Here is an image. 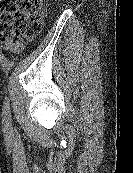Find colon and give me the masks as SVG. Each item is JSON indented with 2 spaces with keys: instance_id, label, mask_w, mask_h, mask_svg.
Here are the masks:
<instances>
[{
  "instance_id": "obj_1",
  "label": "colon",
  "mask_w": 133,
  "mask_h": 173,
  "mask_svg": "<svg viewBox=\"0 0 133 173\" xmlns=\"http://www.w3.org/2000/svg\"><path fill=\"white\" fill-rule=\"evenodd\" d=\"M43 0H0V31L5 49L20 51L42 29Z\"/></svg>"
}]
</instances>
